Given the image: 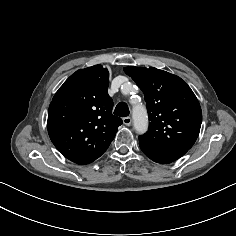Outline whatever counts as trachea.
<instances>
[{"mask_svg":"<svg viewBox=\"0 0 236 236\" xmlns=\"http://www.w3.org/2000/svg\"><path fill=\"white\" fill-rule=\"evenodd\" d=\"M114 114L119 117H126L129 115V108L128 105L124 102H120L117 104Z\"/></svg>","mask_w":236,"mask_h":236,"instance_id":"3493384b","label":"trachea"}]
</instances>
